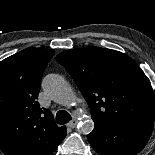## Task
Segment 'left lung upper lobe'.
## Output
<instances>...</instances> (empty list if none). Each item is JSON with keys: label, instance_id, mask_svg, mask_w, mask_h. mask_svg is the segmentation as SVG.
Masks as SVG:
<instances>
[{"label": "left lung upper lobe", "instance_id": "5c2ea615", "mask_svg": "<svg viewBox=\"0 0 155 155\" xmlns=\"http://www.w3.org/2000/svg\"><path fill=\"white\" fill-rule=\"evenodd\" d=\"M89 104L94 122H154L151 82L137 63L100 47L66 50L56 56Z\"/></svg>", "mask_w": 155, "mask_h": 155}]
</instances>
